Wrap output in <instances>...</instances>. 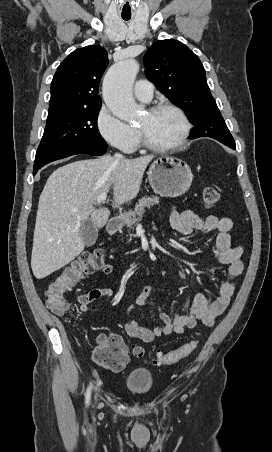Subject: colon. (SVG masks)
Returning <instances> with one entry per match:
<instances>
[{
	"label": "colon",
	"mask_w": 272,
	"mask_h": 452,
	"mask_svg": "<svg viewBox=\"0 0 272 452\" xmlns=\"http://www.w3.org/2000/svg\"><path fill=\"white\" fill-rule=\"evenodd\" d=\"M202 201L205 207L212 208L222 201V195L215 186H206L202 191ZM102 270L110 272L111 266L106 262L102 252H91L80 256L71 262L63 271L57 275L45 290V301L47 307L56 315L69 313L70 306L64 300V293L73 284L84 276ZM98 345L93 353V360L97 365L108 370H121L128 361V352L123 341L115 336L103 337L97 341ZM198 341L193 339L180 348L167 353H159L154 360L158 365H171L184 360L197 348ZM131 352L134 356H143L145 350L142 346L133 344Z\"/></svg>",
	"instance_id": "colon-1"
}]
</instances>
